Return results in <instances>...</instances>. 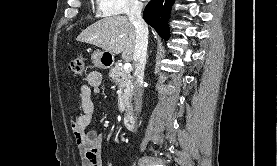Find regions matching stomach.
<instances>
[{"label":"stomach","mask_w":277,"mask_h":166,"mask_svg":"<svg viewBox=\"0 0 277 166\" xmlns=\"http://www.w3.org/2000/svg\"><path fill=\"white\" fill-rule=\"evenodd\" d=\"M91 60L96 67L107 69L113 64L114 56L109 52L96 50L91 55Z\"/></svg>","instance_id":"stomach-1"}]
</instances>
